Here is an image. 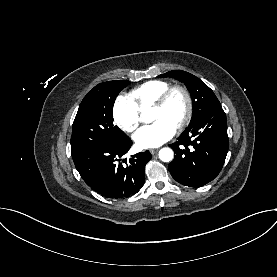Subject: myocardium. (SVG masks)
Instances as JSON below:
<instances>
[{"mask_svg":"<svg viewBox=\"0 0 277 277\" xmlns=\"http://www.w3.org/2000/svg\"><path fill=\"white\" fill-rule=\"evenodd\" d=\"M174 92L182 93L185 98V101H186L185 113H184L182 119L180 120V122L176 126L177 129H182L189 123L192 113H193L192 96H191V93L189 92V90L185 86H182V85L170 86L156 99V101L151 105V108L152 109L163 108L167 104L169 98L171 97V95Z\"/></svg>","mask_w":277,"mask_h":277,"instance_id":"1","label":"myocardium"}]
</instances>
